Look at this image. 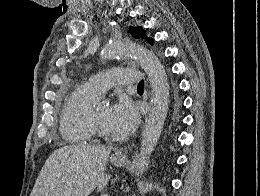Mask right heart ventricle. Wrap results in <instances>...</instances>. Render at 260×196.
Instances as JSON below:
<instances>
[{"instance_id":"obj_1","label":"right heart ventricle","mask_w":260,"mask_h":196,"mask_svg":"<svg viewBox=\"0 0 260 196\" xmlns=\"http://www.w3.org/2000/svg\"><path fill=\"white\" fill-rule=\"evenodd\" d=\"M100 95L89 83L75 85L66 102L61 122V133L69 143H89L93 131L89 125V116ZM54 192V190H50Z\"/></svg>"}]
</instances>
